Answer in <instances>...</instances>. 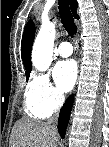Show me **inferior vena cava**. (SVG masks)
I'll list each match as a JSON object with an SVG mask.
<instances>
[{"mask_svg":"<svg viewBox=\"0 0 109 147\" xmlns=\"http://www.w3.org/2000/svg\"><path fill=\"white\" fill-rule=\"evenodd\" d=\"M57 107L55 109L54 115L48 120L47 124L52 128V130L57 131V122L60 112V106L64 103L65 97L62 94L56 96ZM57 147V146H56Z\"/></svg>","mask_w":109,"mask_h":147,"instance_id":"obj_1","label":"inferior vena cava"}]
</instances>
